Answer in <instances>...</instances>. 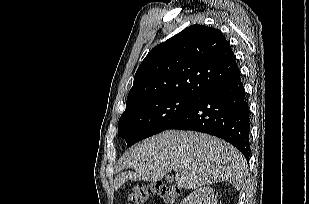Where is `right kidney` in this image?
I'll use <instances>...</instances> for the list:
<instances>
[{"instance_id": "ca27d5eb", "label": "right kidney", "mask_w": 309, "mask_h": 204, "mask_svg": "<svg viewBox=\"0 0 309 204\" xmlns=\"http://www.w3.org/2000/svg\"><path fill=\"white\" fill-rule=\"evenodd\" d=\"M181 204H217V197L213 188L206 186L191 192Z\"/></svg>"}]
</instances>
